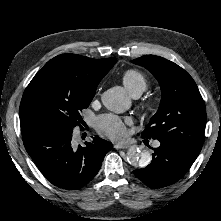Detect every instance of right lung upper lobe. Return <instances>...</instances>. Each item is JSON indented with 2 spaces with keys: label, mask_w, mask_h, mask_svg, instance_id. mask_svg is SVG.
<instances>
[{
  "label": "right lung upper lobe",
  "mask_w": 221,
  "mask_h": 221,
  "mask_svg": "<svg viewBox=\"0 0 221 221\" xmlns=\"http://www.w3.org/2000/svg\"><path fill=\"white\" fill-rule=\"evenodd\" d=\"M116 63V58L92 59L81 55L62 54L47 62L35 75L55 84L81 92H95L101 79ZM22 135L45 123L33 122L20 115Z\"/></svg>",
  "instance_id": "obj_1"
}]
</instances>
